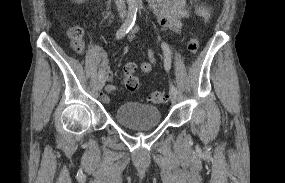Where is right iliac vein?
<instances>
[{
	"label": "right iliac vein",
	"instance_id": "right-iliac-vein-1",
	"mask_svg": "<svg viewBox=\"0 0 285 183\" xmlns=\"http://www.w3.org/2000/svg\"><path fill=\"white\" fill-rule=\"evenodd\" d=\"M104 84H105L104 78H103V77H102V78H99L98 81H97V87H98V89L101 90V89L103 88Z\"/></svg>",
	"mask_w": 285,
	"mask_h": 183
}]
</instances>
